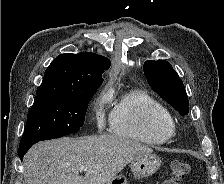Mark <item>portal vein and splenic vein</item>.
<instances>
[{"label": "portal vein and splenic vein", "mask_w": 224, "mask_h": 184, "mask_svg": "<svg viewBox=\"0 0 224 184\" xmlns=\"http://www.w3.org/2000/svg\"><path fill=\"white\" fill-rule=\"evenodd\" d=\"M79 170H80V171H86V168H85L84 166H81V167L79 168Z\"/></svg>", "instance_id": "portal-vein-and-splenic-vein-1"}]
</instances>
